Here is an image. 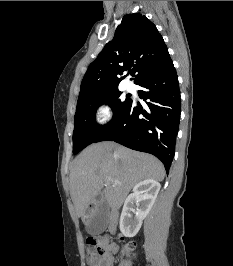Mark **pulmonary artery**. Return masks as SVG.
<instances>
[{"label":"pulmonary artery","mask_w":233,"mask_h":266,"mask_svg":"<svg viewBox=\"0 0 233 266\" xmlns=\"http://www.w3.org/2000/svg\"><path fill=\"white\" fill-rule=\"evenodd\" d=\"M125 87H126V89H127L128 91H133V90H134V84L131 83V82H127V83L125 84Z\"/></svg>","instance_id":"1"}]
</instances>
